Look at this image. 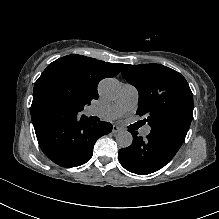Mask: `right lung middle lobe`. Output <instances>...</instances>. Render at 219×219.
Instances as JSON below:
<instances>
[{"instance_id":"dd1d6c3e","label":"right lung middle lobe","mask_w":219,"mask_h":219,"mask_svg":"<svg viewBox=\"0 0 219 219\" xmlns=\"http://www.w3.org/2000/svg\"><path fill=\"white\" fill-rule=\"evenodd\" d=\"M44 109L48 115H70L69 99L62 93L51 92L44 99Z\"/></svg>"}]
</instances>
